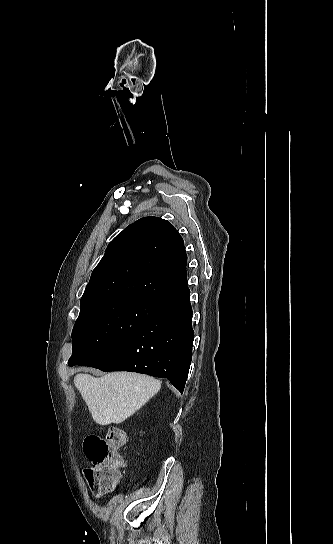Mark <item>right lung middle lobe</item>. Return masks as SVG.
<instances>
[{"label": "right lung middle lobe", "mask_w": 333, "mask_h": 544, "mask_svg": "<svg viewBox=\"0 0 333 544\" xmlns=\"http://www.w3.org/2000/svg\"><path fill=\"white\" fill-rule=\"evenodd\" d=\"M169 302L145 295H126L81 302L68 364L85 361L132 336Z\"/></svg>", "instance_id": "1"}]
</instances>
